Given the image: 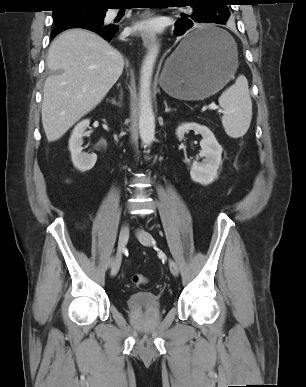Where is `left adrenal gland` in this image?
I'll use <instances>...</instances> for the list:
<instances>
[{"label": "left adrenal gland", "instance_id": "left-adrenal-gland-1", "mask_svg": "<svg viewBox=\"0 0 306 387\" xmlns=\"http://www.w3.org/2000/svg\"><path fill=\"white\" fill-rule=\"evenodd\" d=\"M164 105H165V112H166V113L172 112V111H176V109H173V108H169V107H168L166 100L164 101Z\"/></svg>", "mask_w": 306, "mask_h": 387}]
</instances>
